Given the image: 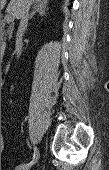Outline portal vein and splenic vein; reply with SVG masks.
<instances>
[{"label":"portal vein and splenic vein","instance_id":"1","mask_svg":"<svg viewBox=\"0 0 109 170\" xmlns=\"http://www.w3.org/2000/svg\"><path fill=\"white\" fill-rule=\"evenodd\" d=\"M13 20H14V15L11 12H8V14L4 18V21L7 23H10Z\"/></svg>","mask_w":109,"mask_h":170}]
</instances>
